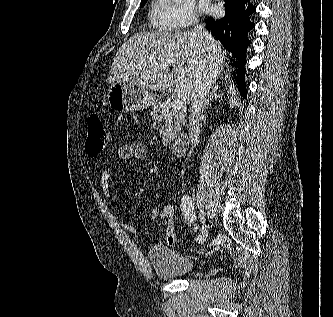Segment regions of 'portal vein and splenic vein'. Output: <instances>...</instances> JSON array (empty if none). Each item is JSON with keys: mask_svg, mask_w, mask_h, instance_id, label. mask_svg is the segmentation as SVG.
Instances as JSON below:
<instances>
[{"mask_svg": "<svg viewBox=\"0 0 333 317\" xmlns=\"http://www.w3.org/2000/svg\"><path fill=\"white\" fill-rule=\"evenodd\" d=\"M162 66H166V64H162ZM170 106L173 110H180L183 108V101L180 98H175L170 103Z\"/></svg>", "mask_w": 333, "mask_h": 317, "instance_id": "portal-vein-and-splenic-vein-1", "label": "portal vein and splenic vein"}]
</instances>
